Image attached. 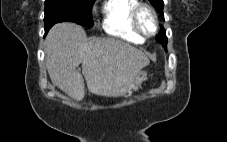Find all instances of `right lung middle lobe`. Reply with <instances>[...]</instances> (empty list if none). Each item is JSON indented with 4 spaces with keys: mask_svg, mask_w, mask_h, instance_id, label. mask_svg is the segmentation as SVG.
<instances>
[{
    "mask_svg": "<svg viewBox=\"0 0 227 142\" xmlns=\"http://www.w3.org/2000/svg\"><path fill=\"white\" fill-rule=\"evenodd\" d=\"M95 0H45V33L58 22H75L92 27L91 9Z\"/></svg>",
    "mask_w": 227,
    "mask_h": 142,
    "instance_id": "1",
    "label": "right lung middle lobe"
}]
</instances>
